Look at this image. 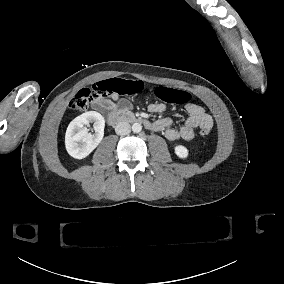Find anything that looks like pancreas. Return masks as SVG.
<instances>
[{"instance_id": "pancreas-1", "label": "pancreas", "mask_w": 284, "mask_h": 284, "mask_svg": "<svg viewBox=\"0 0 284 284\" xmlns=\"http://www.w3.org/2000/svg\"><path fill=\"white\" fill-rule=\"evenodd\" d=\"M120 115L129 116V115H133V113L130 112V111H122V112H120Z\"/></svg>"}]
</instances>
